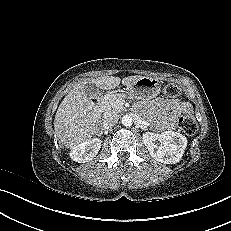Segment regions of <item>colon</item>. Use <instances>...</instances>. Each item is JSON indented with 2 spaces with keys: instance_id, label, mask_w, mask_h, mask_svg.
<instances>
[{
  "instance_id": "obj_1",
  "label": "colon",
  "mask_w": 231,
  "mask_h": 231,
  "mask_svg": "<svg viewBox=\"0 0 231 231\" xmlns=\"http://www.w3.org/2000/svg\"><path fill=\"white\" fill-rule=\"evenodd\" d=\"M164 93L167 97L175 98L181 94V90L176 84L170 83L165 86ZM177 125L187 135L195 134L198 128L196 119L190 111L179 117Z\"/></svg>"
}]
</instances>
